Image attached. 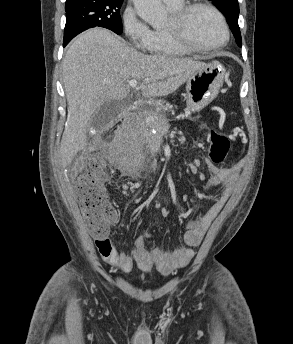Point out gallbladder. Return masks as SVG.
<instances>
[{"label": "gallbladder", "instance_id": "gallbladder-1", "mask_svg": "<svg viewBox=\"0 0 293 344\" xmlns=\"http://www.w3.org/2000/svg\"><path fill=\"white\" fill-rule=\"evenodd\" d=\"M121 111L118 101L110 100L103 103L92 115L89 125L94 130H101L109 124Z\"/></svg>", "mask_w": 293, "mask_h": 344}]
</instances>
